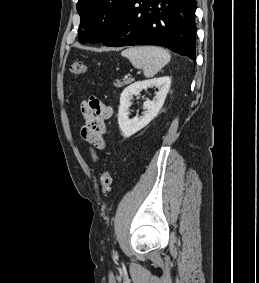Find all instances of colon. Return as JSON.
I'll return each instance as SVG.
<instances>
[{
	"instance_id": "5ec220e1",
	"label": "colon",
	"mask_w": 259,
	"mask_h": 283,
	"mask_svg": "<svg viewBox=\"0 0 259 283\" xmlns=\"http://www.w3.org/2000/svg\"><path fill=\"white\" fill-rule=\"evenodd\" d=\"M70 72L73 75H86L89 72L87 64L75 61L70 66ZM112 184V175L110 170H105L101 175V191L104 196H108Z\"/></svg>"
}]
</instances>
